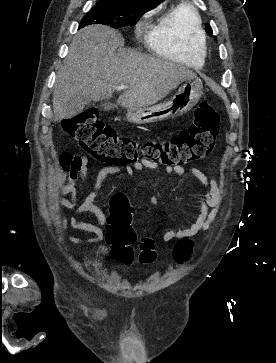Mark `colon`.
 <instances>
[{
	"mask_svg": "<svg viewBox=\"0 0 276 363\" xmlns=\"http://www.w3.org/2000/svg\"><path fill=\"white\" fill-rule=\"evenodd\" d=\"M62 128L88 154L106 163L127 165L150 160L166 166H182L210 153L219 132V114L209 103L202 102L196 108L194 121L188 128L161 141L138 142L119 136L102 122L96 110L65 119ZM136 239L130 215L113 210L107 227L112 257L123 264H131L135 258L133 245ZM192 248L191 239L179 240L173 249L174 261L178 264L187 262ZM155 258L154 241L150 237H143L140 240L138 262L148 264Z\"/></svg>",
	"mask_w": 276,
	"mask_h": 363,
	"instance_id": "1",
	"label": "colon"
}]
</instances>
